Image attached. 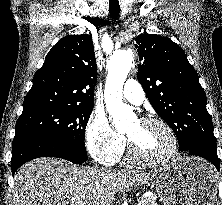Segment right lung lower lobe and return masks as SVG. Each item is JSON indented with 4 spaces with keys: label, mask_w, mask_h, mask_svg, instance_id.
Instances as JSON below:
<instances>
[{
    "label": "right lung lower lobe",
    "mask_w": 222,
    "mask_h": 205,
    "mask_svg": "<svg viewBox=\"0 0 222 205\" xmlns=\"http://www.w3.org/2000/svg\"><path fill=\"white\" fill-rule=\"evenodd\" d=\"M63 158L73 163H83L88 156L81 150L51 137L39 134H20L12 144L11 170L15 171L24 163L38 157Z\"/></svg>",
    "instance_id": "right-lung-lower-lobe-1"
}]
</instances>
